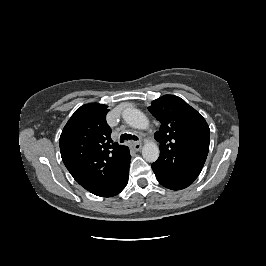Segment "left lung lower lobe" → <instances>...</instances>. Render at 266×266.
<instances>
[{
  "label": "left lung lower lobe",
  "instance_id": "1",
  "mask_svg": "<svg viewBox=\"0 0 266 266\" xmlns=\"http://www.w3.org/2000/svg\"><path fill=\"white\" fill-rule=\"evenodd\" d=\"M153 171L156 175L158 182L161 185H163L164 187L169 188L171 190H181V189H184L190 185V183L174 181L172 179L166 178L165 176L156 172L154 169H153Z\"/></svg>",
  "mask_w": 266,
  "mask_h": 266
}]
</instances>
